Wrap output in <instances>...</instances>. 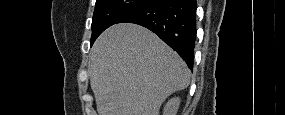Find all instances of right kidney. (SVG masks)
<instances>
[{
    "instance_id": "1",
    "label": "right kidney",
    "mask_w": 285,
    "mask_h": 115,
    "mask_svg": "<svg viewBox=\"0 0 285 115\" xmlns=\"http://www.w3.org/2000/svg\"><path fill=\"white\" fill-rule=\"evenodd\" d=\"M179 105H180L179 98L170 99L167 102L166 106L164 107L163 115H176Z\"/></svg>"
}]
</instances>
